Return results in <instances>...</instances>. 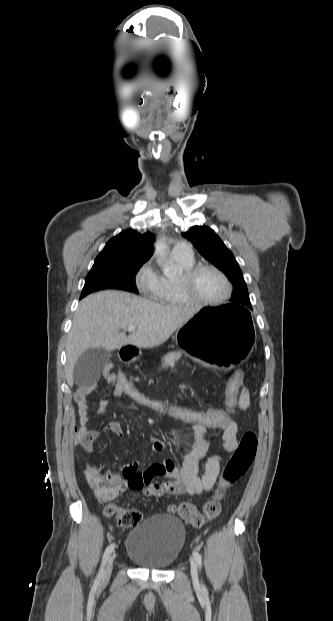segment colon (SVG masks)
Listing matches in <instances>:
<instances>
[{
    "instance_id": "colon-1",
    "label": "colon",
    "mask_w": 333,
    "mask_h": 621,
    "mask_svg": "<svg viewBox=\"0 0 333 621\" xmlns=\"http://www.w3.org/2000/svg\"><path fill=\"white\" fill-rule=\"evenodd\" d=\"M106 375L113 376L122 396L127 397L136 405L167 415L186 425H201L208 428H222L234 419L239 409L238 399L244 383V373L241 369H237L227 382L224 407L194 408L149 394L137 387L122 373L114 375L108 371ZM257 445V437L253 431H248L242 436L237 449L223 469L215 496L204 504L202 512L190 502L173 505L170 511L177 513L185 522L194 527H201L216 519L221 513V501L226 490L244 477L252 466L257 453ZM84 475L99 501L108 502L114 498L117 484L106 473H102L95 465L87 462ZM104 513L106 517L113 518L118 526L124 528L139 524L143 517L142 513L136 509H118L112 504L106 506Z\"/></svg>"
}]
</instances>
